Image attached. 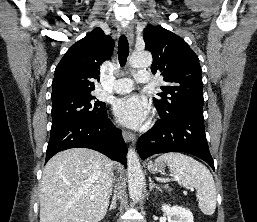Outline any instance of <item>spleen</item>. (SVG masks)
<instances>
[{
  "instance_id": "obj_1",
  "label": "spleen",
  "mask_w": 257,
  "mask_h": 222,
  "mask_svg": "<svg viewBox=\"0 0 257 222\" xmlns=\"http://www.w3.org/2000/svg\"><path fill=\"white\" fill-rule=\"evenodd\" d=\"M158 162H167L173 177L183 187L197 190L198 206L205 215H212L216 209V187L210 171L197 160L181 153H165Z\"/></svg>"
}]
</instances>
